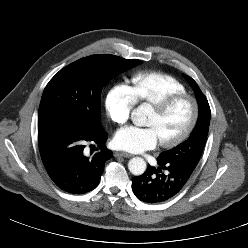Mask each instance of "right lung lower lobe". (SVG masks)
Returning a JSON list of instances; mask_svg holds the SVG:
<instances>
[{
	"instance_id": "obj_1",
	"label": "right lung lower lobe",
	"mask_w": 248,
	"mask_h": 248,
	"mask_svg": "<svg viewBox=\"0 0 248 248\" xmlns=\"http://www.w3.org/2000/svg\"><path fill=\"white\" fill-rule=\"evenodd\" d=\"M107 138L102 127L96 132H78L57 125L38 128L46 171L60 189L71 194L87 193L99 184L105 162L113 157L105 146ZM86 142L96 143L101 151L85 156Z\"/></svg>"
}]
</instances>
